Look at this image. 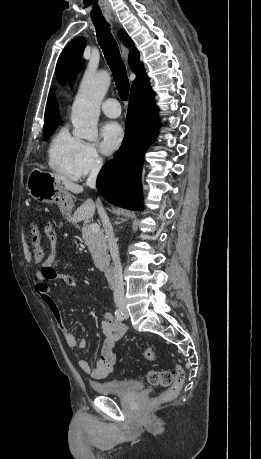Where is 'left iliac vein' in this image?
I'll use <instances>...</instances> for the list:
<instances>
[{
	"instance_id": "1",
	"label": "left iliac vein",
	"mask_w": 261,
	"mask_h": 459,
	"mask_svg": "<svg viewBox=\"0 0 261 459\" xmlns=\"http://www.w3.org/2000/svg\"><path fill=\"white\" fill-rule=\"evenodd\" d=\"M123 314H124V318L125 319H127L129 317V313H128L126 308L123 309Z\"/></svg>"
}]
</instances>
